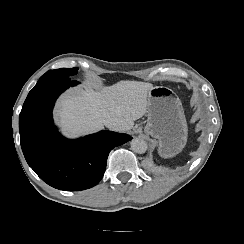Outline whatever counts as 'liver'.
Listing matches in <instances>:
<instances>
[{
    "instance_id": "6515ba94",
    "label": "liver",
    "mask_w": 244,
    "mask_h": 244,
    "mask_svg": "<svg viewBox=\"0 0 244 244\" xmlns=\"http://www.w3.org/2000/svg\"><path fill=\"white\" fill-rule=\"evenodd\" d=\"M151 88V83L127 80L100 86L99 91L70 89L56 104L55 121L69 138L98 131L103 128L102 119H112L121 124L120 131H128L146 113Z\"/></svg>"
}]
</instances>
